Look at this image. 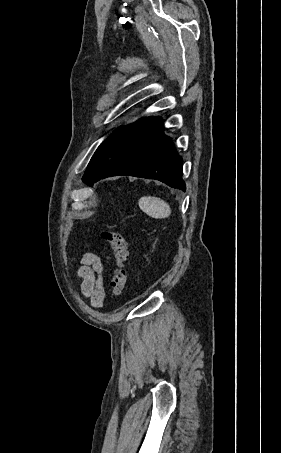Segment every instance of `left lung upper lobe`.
I'll list each match as a JSON object with an SVG mask.
<instances>
[{
  "instance_id": "1",
  "label": "left lung upper lobe",
  "mask_w": 281,
  "mask_h": 453,
  "mask_svg": "<svg viewBox=\"0 0 281 453\" xmlns=\"http://www.w3.org/2000/svg\"><path fill=\"white\" fill-rule=\"evenodd\" d=\"M105 141H106V140H105ZM105 141H104V142H105ZM104 142L98 147V149L96 150L95 154L99 151V149L102 147V145L104 144ZM93 157H94V156H93ZM93 157H92V158H93Z\"/></svg>"
}]
</instances>
